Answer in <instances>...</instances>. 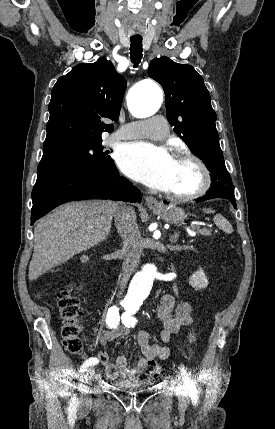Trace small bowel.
I'll list each match as a JSON object with an SVG mask.
<instances>
[{"label": "small bowel", "instance_id": "1", "mask_svg": "<svg viewBox=\"0 0 275 429\" xmlns=\"http://www.w3.org/2000/svg\"><path fill=\"white\" fill-rule=\"evenodd\" d=\"M192 304L188 301L176 303L172 295H163L156 310V318L163 324L161 339L168 342L171 335L176 334L182 326H189L192 323ZM129 330L123 326L110 328L99 335L101 344L128 335ZM143 357L140 358L134 367L127 364V357L123 352L117 356L116 361L106 366V374L110 378H137L148 366V362L156 358L164 360L169 356V348L164 345L151 344L150 336L146 330L140 331L137 335ZM104 353V352H101Z\"/></svg>", "mask_w": 275, "mask_h": 429}]
</instances>
